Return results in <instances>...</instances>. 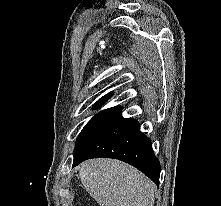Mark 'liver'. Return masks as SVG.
Listing matches in <instances>:
<instances>
[{"mask_svg":"<svg viewBox=\"0 0 221 206\" xmlns=\"http://www.w3.org/2000/svg\"><path fill=\"white\" fill-rule=\"evenodd\" d=\"M79 176L100 206H154L153 183L126 163L88 160L79 167Z\"/></svg>","mask_w":221,"mask_h":206,"instance_id":"liver-1","label":"liver"}]
</instances>
